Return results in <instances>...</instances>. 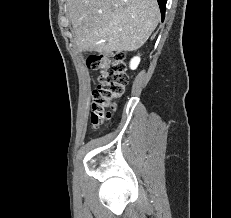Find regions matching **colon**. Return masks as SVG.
<instances>
[{"mask_svg":"<svg viewBox=\"0 0 231 218\" xmlns=\"http://www.w3.org/2000/svg\"><path fill=\"white\" fill-rule=\"evenodd\" d=\"M87 66L99 71L98 85L93 91L90 122L94 128L105 124L111 116L113 102L120 97L128 82L124 56L121 53H92Z\"/></svg>","mask_w":231,"mask_h":218,"instance_id":"1","label":"colon"}]
</instances>
